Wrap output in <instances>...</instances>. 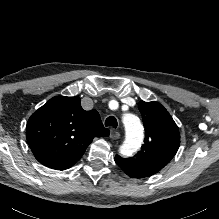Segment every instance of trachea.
Masks as SVG:
<instances>
[{
	"label": "trachea",
	"instance_id": "trachea-1",
	"mask_svg": "<svg viewBox=\"0 0 219 219\" xmlns=\"http://www.w3.org/2000/svg\"><path fill=\"white\" fill-rule=\"evenodd\" d=\"M105 126H112L113 128L117 127V120L114 116H109L106 120H105Z\"/></svg>",
	"mask_w": 219,
	"mask_h": 219
}]
</instances>
